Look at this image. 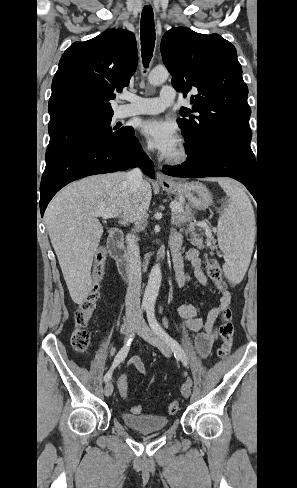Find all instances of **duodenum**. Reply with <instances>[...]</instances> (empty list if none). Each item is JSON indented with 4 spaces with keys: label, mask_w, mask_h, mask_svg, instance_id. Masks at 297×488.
<instances>
[{
    "label": "duodenum",
    "mask_w": 297,
    "mask_h": 488,
    "mask_svg": "<svg viewBox=\"0 0 297 488\" xmlns=\"http://www.w3.org/2000/svg\"><path fill=\"white\" fill-rule=\"evenodd\" d=\"M107 247L110 256L115 260L118 270L126 281H132L134 278L132 266L127 257L123 245V233L120 230H112L108 236ZM168 249H161L157 255L156 260L163 258Z\"/></svg>",
    "instance_id": "obj_1"
}]
</instances>
